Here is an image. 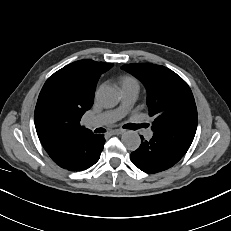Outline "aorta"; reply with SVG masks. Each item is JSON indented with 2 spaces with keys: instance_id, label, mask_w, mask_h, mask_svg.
Masks as SVG:
<instances>
[{
  "instance_id": "aorta-1",
  "label": "aorta",
  "mask_w": 231,
  "mask_h": 231,
  "mask_svg": "<svg viewBox=\"0 0 231 231\" xmlns=\"http://www.w3.org/2000/svg\"><path fill=\"white\" fill-rule=\"evenodd\" d=\"M97 101L106 108L114 107L118 104L120 96L119 92L113 86H103L96 92ZM124 146L131 151H135L141 144V139L136 131H127L122 135Z\"/></svg>"
}]
</instances>
